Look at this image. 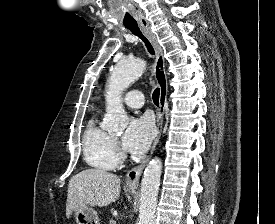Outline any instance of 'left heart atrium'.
<instances>
[{
	"label": "left heart atrium",
	"mask_w": 275,
	"mask_h": 224,
	"mask_svg": "<svg viewBox=\"0 0 275 224\" xmlns=\"http://www.w3.org/2000/svg\"><path fill=\"white\" fill-rule=\"evenodd\" d=\"M154 136L155 126L148 115L134 117L123 136V146L132 154H142L149 148Z\"/></svg>",
	"instance_id": "39dd6f15"
}]
</instances>
